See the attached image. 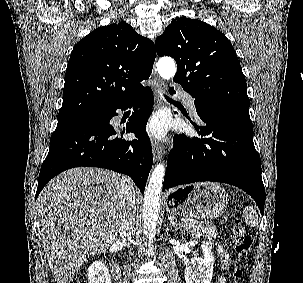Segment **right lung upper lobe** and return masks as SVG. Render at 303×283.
Masks as SVG:
<instances>
[{
  "instance_id": "right-lung-upper-lobe-1",
  "label": "right lung upper lobe",
  "mask_w": 303,
  "mask_h": 283,
  "mask_svg": "<svg viewBox=\"0 0 303 283\" xmlns=\"http://www.w3.org/2000/svg\"><path fill=\"white\" fill-rule=\"evenodd\" d=\"M152 41L125 21L95 29L71 53L58 117L106 109L127 102L144 88L155 60Z\"/></svg>"
}]
</instances>
